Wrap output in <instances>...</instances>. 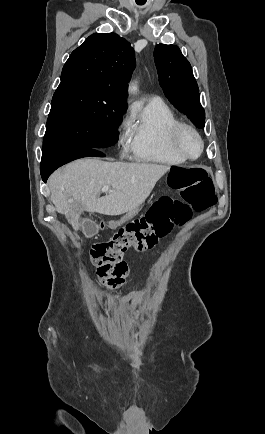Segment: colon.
<instances>
[{
  "instance_id": "5ec220e1",
  "label": "colon",
  "mask_w": 265,
  "mask_h": 434,
  "mask_svg": "<svg viewBox=\"0 0 265 434\" xmlns=\"http://www.w3.org/2000/svg\"><path fill=\"white\" fill-rule=\"evenodd\" d=\"M169 169V188L182 193V201L162 197L143 216L120 227L106 239L91 246V262L100 269L98 283L108 289L122 285L128 269L122 260L130 251L156 246L174 228L182 227L194 212L214 207L215 187L206 164H175Z\"/></svg>"
}]
</instances>
